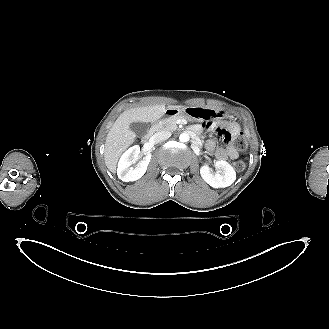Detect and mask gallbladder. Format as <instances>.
<instances>
[{"label": "gallbladder", "mask_w": 329, "mask_h": 329, "mask_svg": "<svg viewBox=\"0 0 329 329\" xmlns=\"http://www.w3.org/2000/svg\"><path fill=\"white\" fill-rule=\"evenodd\" d=\"M149 124L145 122H133L130 124V130L133 131L137 136L143 137L149 130Z\"/></svg>", "instance_id": "obj_1"}]
</instances>
